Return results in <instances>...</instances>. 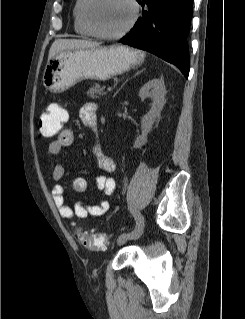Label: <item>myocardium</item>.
<instances>
[{
  "instance_id": "obj_1",
  "label": "myocardium",
  "mask_w": 245,
  "mask_h": 319,
  "mask_svg": "<svg viewBox=\"0 0 245 319\" xmlns=\"http://www.w3.org/2000/svg\"><path fill=\"white\" fill-rule=\"evenodd\" d=\"M132 8V16L129 20V22L126 24L125 27H123L120 31L115 33H105L100 31L95 24L93 23L91 16H90V9L95 2V0H86L85 4L83 6V19L88 27V29L92 32V34L98 38L106 39V40H115L123 37L126 35L135 25V23L138 20L139 17V5L136 0H127Z\"/></svg>"
}]
</instances>
